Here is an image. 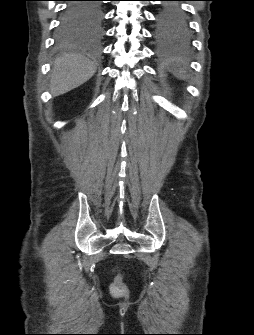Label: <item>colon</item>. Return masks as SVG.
I'll return each instance as SVG.
<instances>
[{
	"label": "colon",
	"instance_id": "5ec220e1",
	"mask_svg": "<svg viewBox=\"0 0 254 335\" xmlns=\"http://www.w3.org/2000/svg\"><path fill=\"white\" fill-rule=\"evenodd\" d=\"M110 291L115 297H123L127 294V287L120 275H116L110 285Z\"/></svg>",
	"mask_w": 254,
	"mask_h": 335
}]
</instances>
